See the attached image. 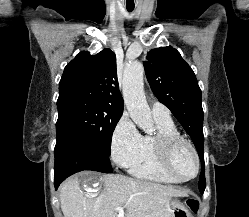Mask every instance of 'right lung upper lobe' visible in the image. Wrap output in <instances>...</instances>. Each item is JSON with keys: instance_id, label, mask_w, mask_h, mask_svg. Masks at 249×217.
<instances>
[{"instance_id": "cb5924a9", "label": "right lung upper lobe", "mask_w": 249, "mask_h": 217, "mask_svg": "<svg viewBox=\"0 0 249 217\" xmlns=\"http://www.w3.org/2000/svg\"><path fill=\"white\" fill-rule=\"evenodd\" d=\"M89 98L123 110L119 91L116 56L110 49L96 55L83 51L65 67L59 83V98Z\"/></svg>"}]
</instances>
